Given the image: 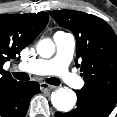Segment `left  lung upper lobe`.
<instances>
[{
    "label": "left lung upper lobe",
    "instance_id": "1",
    "mask_svg": "<svg viewBox=\"0 0 117 117\" xmlns=\"http://www.w3.org/2000/svg\"><path fill=\"white\" fill-rule=\"evenodd\" d=\"M76 38V67L81 68L84 93L117 100V36L101 18L72 10L49 12Z\"/></svg>",
    "mask_w": 117,
    "mask_h": 117
}]
</instances>
